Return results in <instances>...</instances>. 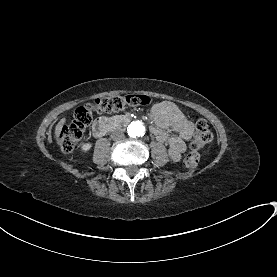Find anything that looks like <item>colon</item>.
<instances>
[{
  "label": "colon",
  "mask_w": 277,
  "mask_h": 277,
  "mask_svg": "<svg viewBox=\"0 0 277 277\" xmlns=\"http://www.w3.org/2000/svg\"><path fill=\"white\" fill-rule=\"evenodd\" d=\"M152 102V97L140 94L99 97L92 103L77 109L73 119L61 126L58 132V139L63 149L68 150L77 144L86 127L90 124L93 115L116 113L121 111L125 106H148L152 104ZM194 130V136L190 142V148L193 152L188 153L184 157V165L190 169L196 168L200 162L198 150L211 143L214 138L204 118H195Z\"/></svg>",
  "instance_id": "1"
}]
</instances>
